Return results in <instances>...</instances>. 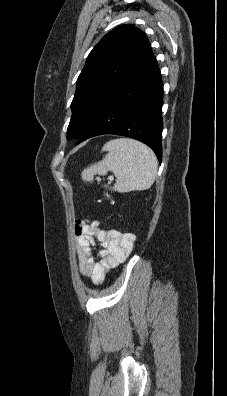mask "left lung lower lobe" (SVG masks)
<instances>
[{
	"mask_svg": "<svg viewBox=\"0 0 227 396\" xmlns=\"http://www.w3.org/2000/svg\"><path fill=\"white\" fill-rule=\"evenodd\" d=\"M163 84L153 53L100 103L77 144L98 135L127 136L148 145L162 160Z\"/></svg>",
	"mask_w": 227,
	"mask_h": 396,
	"instance_id": "1",
	"label": "left lung lower lobe"
}]
</instances>
